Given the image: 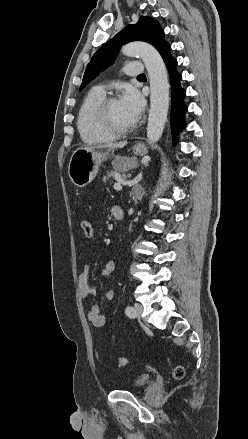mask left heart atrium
I'll list each match as a JSON object with an SVG mask.
<instances>
[{"label":"left heart atrium","mask_w":248,"mask_h":439,"mask_svg":"<svg viewBox=\"0 0 248 439\" xmlns=\"http://www.w3.org/2000/svg\"><path fill=\"white\" fill-rule=\"evenodd\" d=\"M120 102L133 122H136L141 117L144 111L145 102L143 97L136 89H126L120 99Z\"/></svg>","instance_id":"1"}]
</instances>
